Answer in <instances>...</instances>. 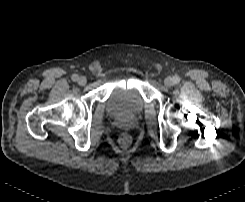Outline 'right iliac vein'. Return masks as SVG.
<instances>
[{"label":"right iliac vein","mask_w":245,"mask_h":202,"mask_svg":"<svg viewBox=\"0 0 245 202\" xmlns=\"http://www.w3.org/2000/svg\"><path fill=\"white\" fill-rule=\"evenodd\" d=\"M77 82H78L79 85L83 86V85H85L87 83V79H86V77L81 76V77L78 78Z\"/></svg>","instance_id":"63e3f726"}]
</instances>
